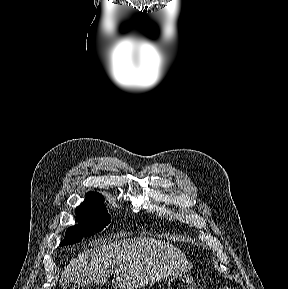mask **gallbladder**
Returning <instances> with one entry per match:
<instances>
[{
  "label": "gallbladder",
  "instance_id": "obj_1",
  "mask_svg": "<svg viewBox=\"0 0 288 289\" xmlns=\"http://www.w3.org/2000/svg\"><path fill=\"white\" fill-rule=\"evenodd\" d=\"M61 286H67V283H66L65 281H63V282L61 283Z\"/></svg>",
  "mask_w": 288,
  "mask_h": 289
}]
</instances>
